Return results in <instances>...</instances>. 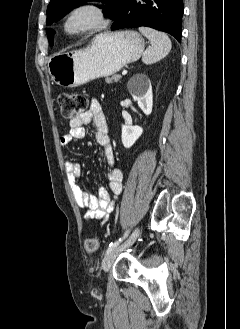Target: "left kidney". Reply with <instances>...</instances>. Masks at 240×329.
I'll return each mask as SVG.
<instances>
[{
	"label": "left kidney",
	"mask_w": 240,
	"mask_h": 329,
	"mask_svg": "<svg viewBox=\"0 0 240 329\" xmlns=\"http://www.w3.org/2000/svg\"><path fill=\"white\" fill-rule=\"evenodd\" d=\"M140 84H137V83ZM138 85V87H137ZM128 90L133 99L145 115H150L153 107V93L150 79L142 74L134 75L128 82ZM143 133L140 126L122 125V144L125 148H130Z\"/></svg>",
	"instance_id": "left-kidney-1"
}]
</instances>
